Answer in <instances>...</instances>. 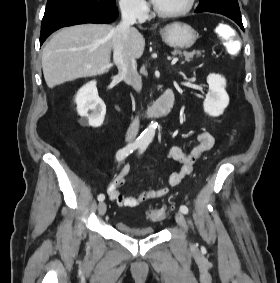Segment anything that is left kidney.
<instances>
[{"instance_id": "1", "label": "left kidney", "mask_w": 280, "mask_h": 283, "mask_svg": "<svg viewBox=\"0 0 280 283\" xmlns=\"http://www.w3.org/2000/svg\"><path fill=\"white\" fill-rule=\"evenodd\" d=\"M209 91L203 103L204 112L212 117L223 114L229 104V96L225 90L226 79L219 74H209L207 77Z\"/></svg>"}]
</instances>
